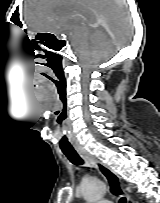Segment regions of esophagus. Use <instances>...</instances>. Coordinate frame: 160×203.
I'll list each match as a JSON object with an SVG mask.
<instances>
[{"mask_svg": "<svg viewBox=\"0 0 160 203\" xmlns=\"http://www.w3.org/2000/svg\"><path fill=\"white\" fill-rule=\"evenodd\" d=\"M80 154H82L87 160H89L95 168L98 170V172L105 178L109 185V190L111 193L117 196H124L127 203H133L131 201V198L126 193L124 185L119 178V176L114 173L109 167H107L105 164L100 162L96 157L88 153L83 148L77 149Z\"/></svg>", "mask_w": 160, "mask_h": 203, "instance_id": "obj_1", "label": "esophagus"}]
</instances>
